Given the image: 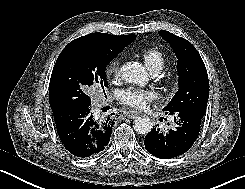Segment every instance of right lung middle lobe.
<instances>
[{"instance_id": "dd1d6c3e", "label": "right lung middle lobe", "mask_w": 245, "mask_h": 189, "mask_svg": "<svg viewBox=\"0 0 245 189\" xmlns=\"http://www.w3.org/2000/svg\"><path fill=\"white\" fill-rule=\"evenodd\" d=\"M115 57L87 45L65 47L52 71L50 106L61 109L91 104L87 91L96 84L108 85L105 69Z\"/></svg>"}]
</instances>
